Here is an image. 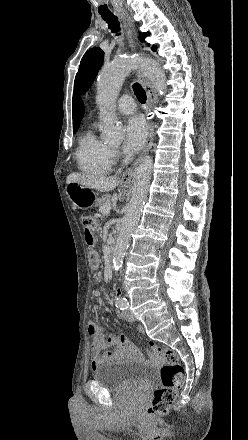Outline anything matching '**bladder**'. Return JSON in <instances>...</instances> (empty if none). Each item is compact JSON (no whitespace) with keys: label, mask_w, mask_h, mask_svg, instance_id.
<instances>
[{"label":"bladder","mask_w":248,"mask_h":440,"mask_svg":"<svg viewBox=\"0 0 248 440\" xmlns=\"http://www.w3.org/2000/svg\"><path fill=\"white\" fill-rule=\"evenodd\" d=\"M155 371L150 366L130 360L104 363L94 369L93 379L110 391H146L153 383Z\"/></svg>","instance_id":"1"}]
</instances>
